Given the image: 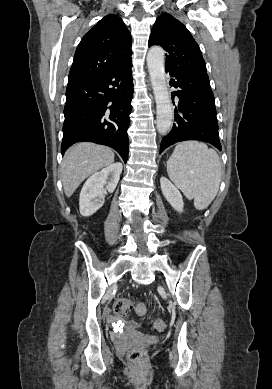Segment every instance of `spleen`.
Returning a JSON list of instances; mask_svg holds the SVG:
<instances>
[{
	"label": "spleen",
	"instance_id": "spleen-1",
	"mask_svg": "<svg viewBox=\"0 0 272 389\" xmlns=\"http://www.w3.org/2000/svg\"><path fill=\"white\" fill-rule=\"evenodd\" d=\"M167 173L173 183L194 206L203 210L217 195L221 181V163L218 154L204 143H179L167 161Z\"/></svg>",
	"mask_w": 272,
	"mask_h": 389
}]
</instances>
